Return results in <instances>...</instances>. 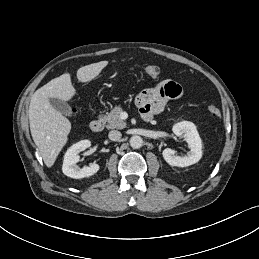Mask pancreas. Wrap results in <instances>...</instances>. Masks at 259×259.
<instances>
[{"label": "pancreas", "mask_w": 259, "mask_h": 259, "mask_svg": "<svg viewBox=\"0 0 259 259\" xmlns=\"http://www.w3.org/2000/svg\"><path fill=\"white\" fill-rule=\"evenodd\" d=\"M123 112V108L118 105L115 106L110 113H108L105 117L104 120L107 123L106 127L108 129H123L126 127V122H124L121 118L120 115Z\"/></svg>", "instance_id": "pancreas-1"}]
</instances>
